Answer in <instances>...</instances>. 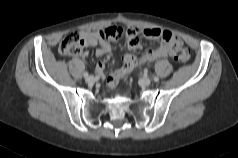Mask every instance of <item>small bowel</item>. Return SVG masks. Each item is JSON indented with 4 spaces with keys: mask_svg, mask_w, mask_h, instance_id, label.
Masks as SVG:
<instances>
[{
    "mask_svg": "<svg viewBox=\"0 0 238 158\" xmlns=\"http://www.w3.org/2000/svg\"><path fill=\"white\" fill-rule=\"evenodd\" d=\"M110 29L116 31V33L121 32V30L116 27H111ZM80 34L84 39L85 47H97L95 56L99 61L96 65V73L103 78L105 70L104 56L111 51L110 43L101 37L100 31H81ZM140 34L148 39H160L161 43L157 48L149 49L140 58H137L131 54V52L141 48L139 40ZM177 43H180L179 40L167 30L159 28H146L140 30L134 27L127 29L125 47L128 53L123 56V65L109 74L107 78L108 86L111 88L114 87L122 77L129 74L133 68L139 64L167 57L170 54V47Z\"/></svg>",
    "mask_w": 238,
    "mask_h": 158,
    "instance_id": "small-bowel-1",
    "label": "small bowel"
}]
</instances>
